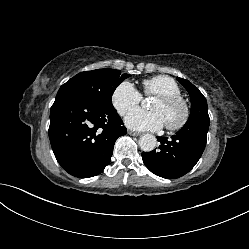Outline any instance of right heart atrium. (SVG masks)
Listing matches in <instances>:
<instances>
[{"mask_svg": "<svg viewBox=\"0 0 249 249\" xmlns=\"http://www.w3.org/2000/svg\"><path fill=\"white\" fill-rule=\"evenodd\" d=\"M141 94L129 81L120 82L112 92L111 102L119 115H125L132 107L140 103Z\"/></svg>", "mask_w": 249, "mask_h": 249, "instance_id": "obj_1", "label": "right heart atrium"}]
</instances>
